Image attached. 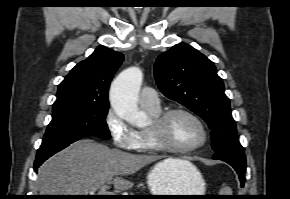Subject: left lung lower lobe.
I'll return each mask as SVG.
<instances>
[{
    "label": "left lung lower lobe",
    "instance_id": "0a47b994",
    "mask_svg": "<svg viewBox=\"0 0 290 199\" xmlns=\"http://www.w3.org/2000/svg\"><path fill=\"white\" fill-rule=\"evenodd\" d=\"M214 159L222 160L230 164L238 173L241 186L245 183L246 158L244 151H227L216 153Z\"/></svg>",
    "mask_w": 290,
    "mask_h": 199
}]
</instances>
